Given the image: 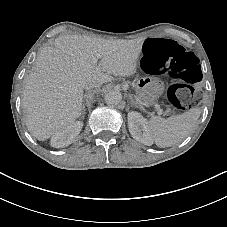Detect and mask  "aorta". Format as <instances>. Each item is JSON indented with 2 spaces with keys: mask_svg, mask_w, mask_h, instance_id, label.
I'll return each instance as SVG.
<instances>
[{
  "mask_svg": "<svg viewBox=\"0 0 227 227\" xmlns=\"http://www.w3.org/2000/svg\"><path fill=\"white\" fill-rule=\"evenodd\" d=\"M104 99L108 105H117L122 100V94L117 90H111L105 94Z\"/></svg>",
  "mask_w": 227,
  "mask_h": 227,
  "instance_id": "obj_1",
  "label": "aorta"
}]
</instances>
